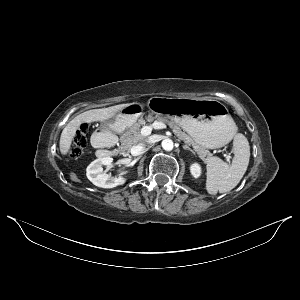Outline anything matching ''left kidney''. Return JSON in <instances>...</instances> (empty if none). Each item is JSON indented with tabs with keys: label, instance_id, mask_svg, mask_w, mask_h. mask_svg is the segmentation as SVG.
Returning <instances> with one entry per match:
<instances>
[{
	"label": "left kidney",
	"instance_id": "1",
	"mask_svg": "<svg viewBox=\"0 0 300 300\" xmlns=\"http://www.w3.org/2000/svg\"><path fill=\"white\" fill-rule=\"evenodd\" d=\"M190 171H191V174L195 177V178H198L201 174V167L199 164L197 163H194L191 165L190 167Z\"/></svg>",
	"mask_w": 300,
	"mask_h": 300
}]
</instances>
